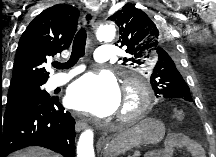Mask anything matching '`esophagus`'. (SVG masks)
Masks as SVG:
<instances>
[{
  "label": "esophagus",
  "mask_w": 216,
  "mask_h": 157,
  "mask_svg": "<svg viewBox=\"0 0 216 157\" xmlns=\"http://www.w3.org/2000/svg\"><path fill=\"white\" fill-rule=\"evenodd\" d=\"M99 11H87L83 16V25L85 27H91L94 24V21L98 15ZM87 126L86 122L83 120H77L75 124L76 131H81Z\"/></svg>",
  "instance_id": "34e87169"
}]
</instances>
